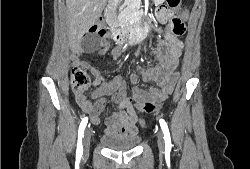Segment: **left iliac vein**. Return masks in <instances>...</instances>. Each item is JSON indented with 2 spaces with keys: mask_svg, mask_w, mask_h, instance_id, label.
<instances>
[{
  "mask_svg": "<svg viewBox=\"0 0 250 169\" xmlns=\"http://www.w3.org/2000/svg\"><path fill=\"white\" fill-rule=\"evenodd\" d=\"M157 142H158L159 150H163L164 149V139H163V133L162 132L157 133Z\"/></svg>",
  "mask_w": 250,
  "mask_h": 169,
  "instance_id": "4c4485c4",
  "label": "left iliac vein"
}]
</instances>
